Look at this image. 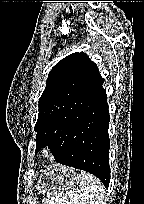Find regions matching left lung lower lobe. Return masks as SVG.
<instances>
[{
	"mask_svg": "<svg viewBox=\"0 0 144 204\" xmlns=\"http://www.w3.org/2000/svg\"><path fill=\"white\" fill-rule=\"evenodd\" d=\"M103 82L98 73L88 85L86 99L77 117L71 121L64 140L54 145L51 151L56 162L92 173L108 188L110 115Z\"/></svg>",
	"mask_w": 144,
	"mask_h": 204,
	"instance_id": "obj_1",
	"label": "left lung lower lobe"
}]
</instances>
